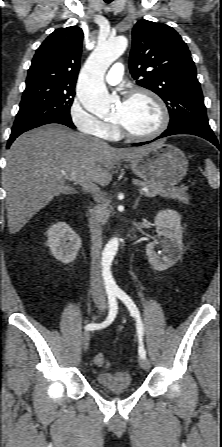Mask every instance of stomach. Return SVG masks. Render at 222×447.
Listing matches in <instances>:
<instances>
[{
  "instance_id": "0dacf381",
  "label": "stomach",
  "mask_w": 222,
  "mask_h": 447,
  "mask_svg": "<svg viewBox=\"0 0 222 447\" xmlns=\"http://www.w3.org/2000/svg\"><path fill=\"white\" fill-rule=\"evenodd\" d=\"M145 151L130 160L132 171L147 183L164 188L179 183L188 171V160L177 147L161 142L145 146Z\"/></svg>"
}]
</instances>
